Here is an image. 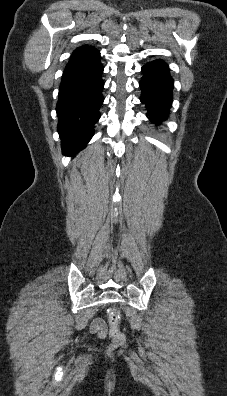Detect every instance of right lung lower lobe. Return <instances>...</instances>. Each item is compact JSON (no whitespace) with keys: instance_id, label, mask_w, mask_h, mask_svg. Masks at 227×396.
<instances>
[{"instance_id":"98d812e1","label":"right lung lower lobe","mask_w":227,"mask_h":396,"mask_svg":"<svg viewBox=\"0 0 227 396\" xmlns=\"http://www.w3.org/2000/svg\"><path fill=\"white\" fill-rule=\"evenodd\" d=\"M103 69L100 52L88 45L78 47L64 69L56 111L62 151L66 155L82 150L94 134L103 103Z\"/></svg>"}]
</instances>
